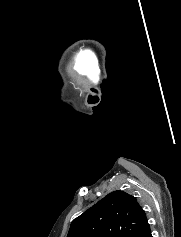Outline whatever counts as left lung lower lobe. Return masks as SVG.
Masks as SVG:
<instances>
[{
    "label": "left lung lower lobe",
    "mask_w": 181,
    "mask_h": 237,
    "mask_svg": "<svg viewBox=\"0 0 181 237\" xmlns=\"http://www.w3.org/2000/svg\"><path fill=\"white\" fill-rule=\"evenodd\" d=\"M140 237H152L150 227L148 226L140 235Z\"/></svg>",
    "instance_id": "obj_1"
}]
</instances>
